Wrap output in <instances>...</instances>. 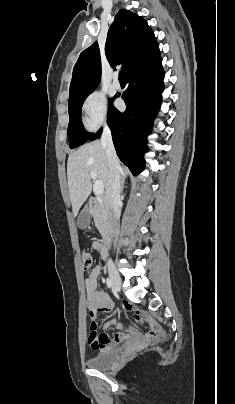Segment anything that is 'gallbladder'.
I'll list each match as a JSON object with an SVG mask.
<instances>
[{"instance_id": "gallbladder-1", "label": "gallbladder", "mask_w": 235, "mask_h": 404, "mask_svg": "<svg viewBox=\"0 0 235 404\" xmlns=\"http://www.w3.org/2000/svg\"><path fill=\"white\" fill-rule=\"evenodd\" d=\"M89 224H90V214H89V212H88V209L85 208V209L80 213V215L78 216V219H77V226H78L80 229H85V228H87V227L89 226Z\"/></svg>"}]
</instances>
